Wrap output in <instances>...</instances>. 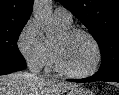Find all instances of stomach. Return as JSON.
Instances as JSON below:
<instances>
[{
  "instance_id": "0dacf381",
  "label": "stomach",
  "mask_w": 119,
  "mask_h": 95,
  "mask_svg": "<svg viewBox=\"0 0 119 95\" xmlns=\"http://www.w3.org/2000/svg\"><path fill=\"white\" fill-rule=\"evenodd\" d=\"M66 95H94L93 92L86 88L76 87L67 92Z\"/></svg>"
}]
</instances>
